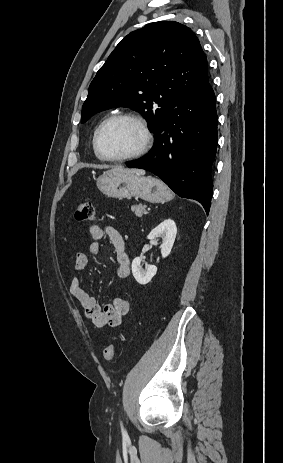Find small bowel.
Returning <instances> with one entry per match:
<instances>
[{
    "label": "small bowel",
    "instance_id": "obj_1",
    "mask_svg": "<svg viewBox=\"0 0 283 463\" xmlns=\"http://www.w3.org/2000/svg\"><path fill=\"white\" fill-rule=\"evenodd\" d=\"M92 241L87 248L77 250L75 253V271L80 273L85 270L89 256L100 254V241L108 237L116 253V276L125 279L130 274V259L125 250V241L121 233L111 225L104 227L91 225L88 229ZM70 295L81 305L85 316L97 327L111 326L118 327L122 323V318L130 311L131 302L126 297L114 296L110 303L99 306L83 287L78 275L71 278L69 286Z\"/></svg>",
    "mask_w": 283,
    "mask_h": 463
}]
</instances>
